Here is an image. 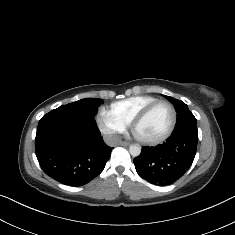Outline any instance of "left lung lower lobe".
Masks as SVG:
<instances>
[{
	"label": "left lung lower lobe",
	"mask_w": 235,
	"mask_h": 235,
	"mask_svg": "<svg viewBox=\"0 0 235 235\" xmlns=\"http://www.w3.org/2000/svg\"><path fill=\"white\" fill-rule=\"evenodd\" d=\"M197 143L198 133L172 134L164 144L142 149L134 159L136 171L151 184H172L192 165Z\"/></svg>",
	"instance_id": "0a47b994"
}]
</instances>
